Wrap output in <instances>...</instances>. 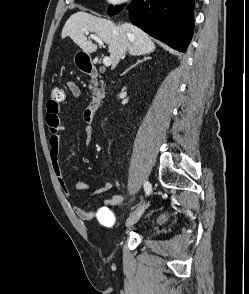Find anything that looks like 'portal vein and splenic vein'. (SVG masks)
Wrapping results in <instances>:
<instances>
[{
    "mask_svg": "<svg viewBox=\"0 0 249 294\" xmlns=\"http://www.w3.org/2000/svg\"><path fill=\"white\" fill-rule=\"evenodd\" d=\"M86 34L88 35L89 32H86ZM90 37H91L93 40H95L100 46H103V47H104V43H103L102 39H100L97 35H93V34H91ZM111 63H112V61H111V58H110V57H104V58H103V64H104L105 66H110Z\"/></svg>",
    "mask_w": 249,
    "mask_h": 294,
    "instance_id": "1",
    "label": "portal vein and splenic vein"
}]
</instances>
